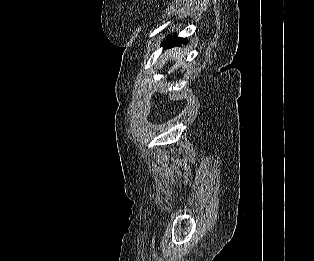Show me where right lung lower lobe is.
<instances>
[{"label": "right lung lower lobe", "instance_id": "right-lung-lower-lobe-1", "mask_svg": "<svg viewBox=\"0 0 314 261\" xmlns=\"http://www.w3.org/2000/svg\"><path fill=\"white\" fill-rule=\"evenodd\" d=\"M181 43L186 44L187 39L178 38L177 35H170L166 38V41H163L164 46H180Z\"/></svg>", "mask_w": 314, "mask_h": 261}]
</instances>
